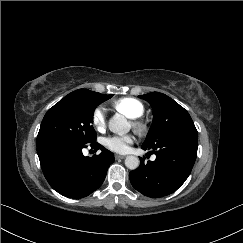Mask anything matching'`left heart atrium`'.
Wrapping results in <instances>:
<instances>
[{
  "label": "left heart atrium",
  "mask_w": 243,
  "mask_h": 243,
  "mask_svg": "<svg viewBox=\"0 0 243 243\" xmlns=\"http://www.w3.org/2000/svg\"><path fill=\"white\" fill-rule=\"evenodd\" d=\"M134 143L132 135H112L104 140L105 146L115 152L124 153L129 150L130 145Z\"/></svg>",
  "instance_id": "1"
}]
</instances>
